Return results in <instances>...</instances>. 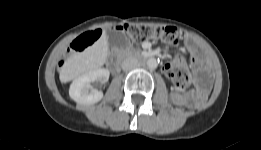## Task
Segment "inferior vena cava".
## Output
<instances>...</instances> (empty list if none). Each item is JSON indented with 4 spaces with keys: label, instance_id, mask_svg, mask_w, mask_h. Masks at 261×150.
<instances>
[{
    "label": "inferior vena cava",
    "instance_id": "inferior-vena-cava-1",
    "mask_svg": "<svg viewBox=\"0 0 261 150\" xmlns=\"http://www.w3.org/2000/svg\"><path fill=\"white\" fill-rule=\"evenodd\" d=\"M121 66L124 71H129L137 68L139 66V62L135 57L129 56L123 60Z\"/></svg>",
    "mask_w": 261,
    "mask_h": 150
}]
</instances>
